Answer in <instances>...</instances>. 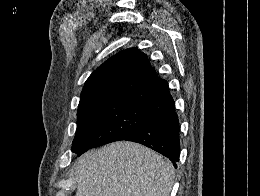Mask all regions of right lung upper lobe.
<instances>
[{"instance_id": "right-lung-upper-lobe-1", "label": "right lung upper lobe", "mask_w": 260, "mask_h": 196, "mask_svg": "<svg viewBox=\"0 0 260 196\" xmlns=\"http://www.w3.org/2000/svg\"><path fill=\"white\" fill-rule=\"evenodd\" d=\"M168 92V84L136 48L112 56L86 80L79 106L127 102L144 106Z\"/></svg>"}]
</instances>
